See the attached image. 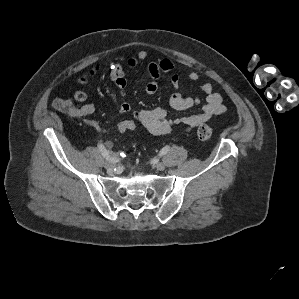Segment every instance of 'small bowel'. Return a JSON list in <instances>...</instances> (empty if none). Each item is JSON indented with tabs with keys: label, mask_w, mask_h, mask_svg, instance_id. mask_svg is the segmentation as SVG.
Here are the masks:
<instances>
[{
	"label": "small bowel",
	"mask_w": 299,
	"mask_h": 299,
	"mask_svg": "<svg viewBox=\"0 0 299 299\" xmlns=\"http://www.w3.org/2000/svg\"><path fill=\"white\" fill-rule=\"evenodd\" d=\"M145 63V68L150 76V80L145 85V91L148 94H154L158 89V80L163 74H170V81L174 89H178L180 78L176 73H172L174 64L168 58H163L158 61H149V53L145 50L138 52L132 57H120L119 61L113 66L109 72V79L118 89V94L121 99L118 108L119 113L126 114L132 112L133 119L149 133L155 136L170 134L176 128H181L185 131H190L198 125L208 121L216 115H221L226 112V106L223 103L222 96L215 92L212 84L205 83L202 86V91L205 93V99L202 104L201 111L194 114L182 116L180 118H170L168 112L164 108H151L139 111H132L130 104L125 100L126 96V79L125 67L135 68L139 64ZM92 75L94 70L90 72ZM189 80L196 82L199 79L197 72L192 71L188 74ZM74 99L77 102H84L87 95L84 91L78 90L74 93ZM202 103L199 98L184 97L179 92H175L169 98V107L174 111H186L196 107ZM83 115H91L94 113L92 104H84L81 106ZM90 126L97 131L100 126L95 121L89 122ZM107 149L113 148V143L110 140L105 142Z\"/></svg>",
	"instance_id": "small-bowel-1"
}]
</instances>
